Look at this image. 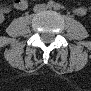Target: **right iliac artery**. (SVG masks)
Returning <instances> with one entry per match:
<instances>
[{
  "instance_id": "1",
  "label": "right iliac artery",
  "mask_w": 91,
  "mask_h": 91,
  "mask_svg": "<svg viewBox=\"0 0 91 91\" xmlns=\"http://www.w3.org/2000/svg\"><path fill=\"white\" fill-rule=\"evenodd\" d=\"M48 7H53L54 3L52 1L48 2Z\"/></svg>"
}]
</instances>
